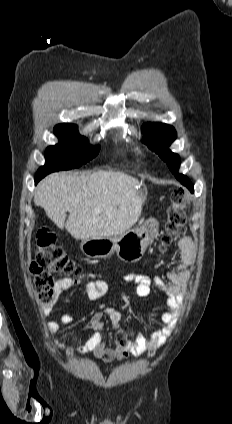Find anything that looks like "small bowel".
Listing matches in <instances>:
<instances>
[{
	"instance_id": "1",
	"label": "small bowel",
	"mask_w": 232,
	"mask_h": 424,
	"mask_svg": "<svg viewBox=\"0 0 232 424\" xmlns=\"http://www.w3.org/2000/svg\"><path fill=\"white\" fill-rule=\"evenodd\" d=\"M180 259L174 268L166 275L167 282L160 277L150 276L138 272H128L124 279L136 286V294L139 297L151 295V285L154 283L166 297L167 310L157 315L160 326L155 329L149 338L138 333L135 339H130L128 333L121 328L122 315L114 307L107 306L103 310L94 312L83 330H93L86 342L76 351L80 354L92 353L96 358L104 362L121 360L128 355H142L152 353L162 347L172 330L177 324V317L182 309L188 283L191 279L189 268L195 259V247L191 238L184 237L178 243ZM82 284L83 289L90 299H99L107 291V283L103 279H95L82 283L73 278H62L55 283V294L59 296L62 292ZM49 312V310H47ZM107 316L115 330L113 347H107L102 340L100 331L103 328V317ZM74 321V316L61 314L57 320L50 321L48 328L51 333H56L61 326H66ZM62 348L61 345H57Z\"/></svg>"
}]
</instances>
